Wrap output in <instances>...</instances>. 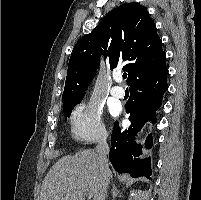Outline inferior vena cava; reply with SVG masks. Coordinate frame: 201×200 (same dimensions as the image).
<instances>
[{"mask_svg":"<svg viewBox=\"0 0 201 200\" xmlns=\"http://www.w3.org/2000/svg\"><path fill=\"white\" fill-rule=\"evenodd\" d=\"M107 137L104 136L96 146V153L98 162L100 165V168L104 174V181H103V195L101 197V200H105L106 194H107V187L109 184L108 180V172H109V163L107 159V154L109 152V146L107 143Z\"/></svg>","mask_w":201,"mask_h":200,"instance_id":"obj_1","label":"inferior vena cava"}]
</instances>
